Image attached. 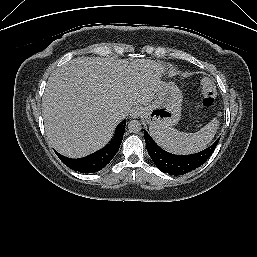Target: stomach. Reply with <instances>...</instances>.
Masks as SVG:
<instances>
[{
  "instance_id": "stomach-1",
  "label": "stomach",
  "mask_w": 257,
  "mask_h": 257,
  "mask_svg": "<svg viewBox=\"0 0 257 257\" xmlns=\"http://www.w3.org/2000/svg\"><path fill=\"white\" fill-rule=\"evenodd\" d=\"M182 101V91L177 85L162 81L155 101L143 108V117L150 130L176 125L181 117Z\"/></svg>"
}]
</instances>
